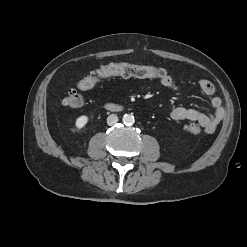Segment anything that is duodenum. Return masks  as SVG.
Wrapping results in <instances>:
<instances>
[{
  "label": "duodenum",
  "instance_id": "duodenum-1",
  "mask_svg": "<svg viewBox=\"0 0 247 247\" xmlns=\"http://www.w3.org/2000/svg\"><path fill=\"white\" fill-rule=\"evenodd\" d=\"M108 108H109V109H117V106H115V105H113V104H109V105H108Z\"/></svg>",
  "mask_w": 247,
  "mask_h": 247
}]
</instances>
